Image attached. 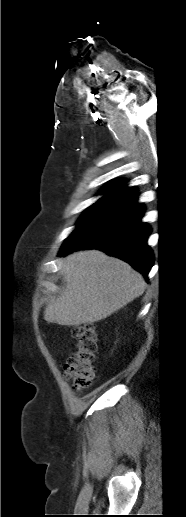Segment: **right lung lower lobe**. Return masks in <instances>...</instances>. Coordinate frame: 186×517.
Masks as SVG:
<instances>
[{
    "mask_svg": "<svg viewBox=\"0 0 186 517\" xmlns=\"http://www.w3.org/2000/svg\"><path fill=\"white\" fill-rule=\"evenodd\" d=\"M135 194L124 199L77 231L62 245L59 256L80 249H99L128 262L147 277L153 254L147 245L151 229L141 222L144 207Z\"/></svg>",
    "mask_w": 186,
    "mask_h": 517,
    "instance_id": "1",
    "label": "right lung lower lobe"
}]
</instances>
